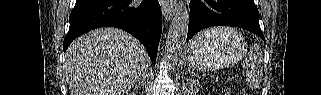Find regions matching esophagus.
<instances>
[{
	"label": "esophagus",
	"mask_w": 321,
	"mask_h": 95,
	"mask_svg": "<svg viewBox=\"0 0 321 95\" xmlns=\"http://www.w3.org/2000/svg\"><path fill=\"white\" fill-rule=\"evenodd\" d=\"M162 13L166 21H170L174 14V7L172 4L162 2Z\"/></svg>",
	"instance_id": "34e87169"
}]
</instances>
